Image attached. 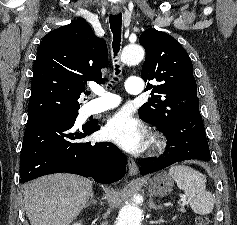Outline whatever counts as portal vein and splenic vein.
Instances as JSON below:
<instances>
[{
    "mask_svg": "<svg viewBox=\"0 0 237 225\" xmlns=\"http://www.w3.org/2000/svg\"><path fill=\"white\" fill-rule=\"evenodd\" d=\"M181 200H182V203L180 204L181 206H184V205L188 204V201L184 196H182Z\"/></svg>",
    "mask_w": 237,
    "mask_h": 225,
    "instance_id": "portal-vein-and-splenic-vein-1",
    "label": "portal vein and splenic vein"
}]
</instances>
